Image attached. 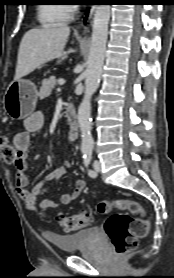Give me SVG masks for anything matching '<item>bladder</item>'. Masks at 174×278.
Instances as JSON below:
<instances>
[{"label":"bladder","mask_w":174,"mask_h":278,"mask_svg":"<svg viewBox=\"0 0 174 278\" xmlns=\"http://www.w3.org/2000/svg\"><path fill=\"white\" fill-rule=\"evenodd\" d=\"M100 232L98 228H86L69 235L51 234L49 241L59 250L67 253L83 249L98 240Z\"/></svg>","instance_id":"31cf9c89"}]
</instances>
